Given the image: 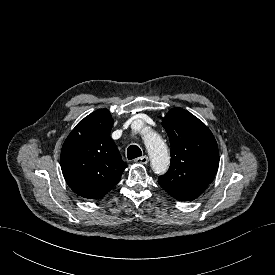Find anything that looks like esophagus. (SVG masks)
<instances>
[{
	"label": "esophagus",
	"mask_w": 275,
	"mask_h": 275,
	"mask_svg": "<svg viewBox=\"0 0 275 275\" xmlns=\"http://www.w3.org/2000/svg\"><path fill=\"white\" fill-rule=\"evenodd\" d=\"M148 161H149V158L146 155L138 157V158L135 159V162L141 163V164H147Z\"/></svg>",
	"instance_id": "obj_1"
}]
</instances>
